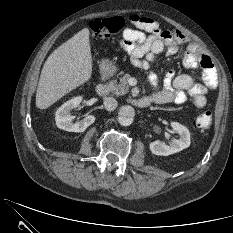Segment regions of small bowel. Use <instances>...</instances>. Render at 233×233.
<instances>
[{"label":"small bowel","mask_w":233,"mask_h":233,"mask_svg":"<svg viewBox=\"0 0 233 233\" xmlns=\"http://www.w3.org/2000/svg\"><path fill=\"white\" fill-rule=\"evenodd\" d=\"M130 21L135 28L123 31L119 45L129 54L133 64L148 69L159 54H173L179 45H185L184 66L188 70L201 68L203 72V83H198L189 74L175 75L168 71L163 88L150 96L152 103L182 104L188 94L197 108H203L207 103V93L217 86V72L211 58L179 30L162 29L153 19L138 15L131 16ZM149 79L153 85L158 84L155 73H150Z\"/></svg>","instance_id":"obj_1"}]
</instances>
